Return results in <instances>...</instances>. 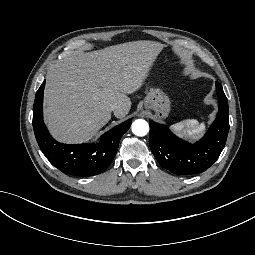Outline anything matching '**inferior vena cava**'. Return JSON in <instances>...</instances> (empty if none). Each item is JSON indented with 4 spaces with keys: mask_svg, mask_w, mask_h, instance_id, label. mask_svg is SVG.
Returning <instances> with one entry per match:
<instances>
[{
    "mask_svg": "<svg viewBox=\"0 0 255 255\" xmlns=\"http://www.w3.org/2000/svg\"><path fill=\"white\" fill-rule=\"evenodd\" d=\"M120 108V105L118 104V103H112L111 105H110V109L112 110V111H115V110H117V109H119Z\"/></svg>",
    "mask_w": 255,
    "mask_h": 255,
    "instance_id": "602c4592",
    "label": "inferior vena cava"
}]
</instances>
